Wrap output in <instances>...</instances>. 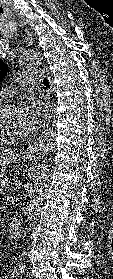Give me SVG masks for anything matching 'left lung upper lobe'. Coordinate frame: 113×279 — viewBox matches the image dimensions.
Returning a JSON list of instances; mask_svg holds the SVG:
<instances>
[{"instance_id":"1","label":"left lung upper lobe","mask_w":113,"mask_h":279,"mask_svg":"<svg viewBox=\"0 0 113 279\" xmlns=\"http://www.w3.org/2000/svg\"><path fill=\"white\" fill-rule=\"evenodd\" d=\"M7 70H8L7 64H5L4 62L0 61V82L5 77Z\"/></svg>"}]
</instances>
